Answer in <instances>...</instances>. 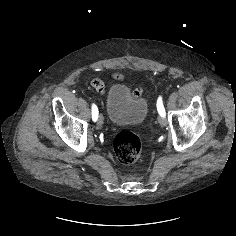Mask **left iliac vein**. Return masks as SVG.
Wrapping results in <instances>:
<instances>
[{
    "label": "left iliac vein",
    "instance_id": "obj_1",
    "mask_svg": "<svg viewBox=\"0 0 236 236\" xmlns=\"http://www.w3.org/2000/svg\"><path fill=\"white\" fill-rule=\"evenodd\" d=\"M158 122H159V124H160L162 127L166 126V124H167L166 119H165L164 117H162V116H160V117L158 118Z\"/></svg>",
    "mask_w": 236,
    "mask_h": 236
}]
</instances>
